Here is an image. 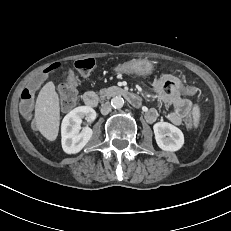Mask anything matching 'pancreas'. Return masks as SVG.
<instances>
[{
	"instance_id": "obj_1",
	"label": "pancreas",
	"mask_w": 231,
	"mask_h": 231,
	"mask_svg": "<svg viewBox=\"0 0 231 231\" xmlns=\"http://www.w3.org/2000/svg\"><path fill=\"white\" fill-rule=\"evenodd\" d=\"M107 91V89H102L100 90L99 94L101 96V98H104L105 97V92Z\"/></svg>"
}]
</instances>
